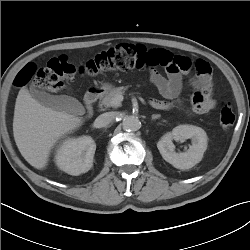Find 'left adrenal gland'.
Masks as SVG:
<instances>
[{"label":"left adrenal gland","mask_w":250,"mask_h":250,"mask_svg":"<svg viewBox=\"0 0 250 250\" xmlns=\"http://www.w3.org/2000/svg\"><path fill=\"white\" fill-rule=\"evenodd\" d=\"M160 117H161V115H159V114H157V115L153 114L152 115V120L158 119Z\"/></svg>","instance_id":"left-adrenal-gland-1"}]
</instances>
